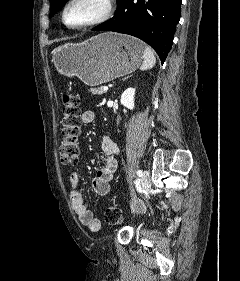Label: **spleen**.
Wrapping results in <instances>:
<instances>
[{
  "instance_id": "spleen-1",
  "label": "spleen",
  "mask_w": 240,
  "mask_h": 281,
  "mask_svg": "<svg viewBox=\"0 0 240 281\" xmlns=\"http://www.w3.org/2000/svg\"><path fill=\"white\" fill-rule=\"evenodd\" d=\"M143 59V63L140 67V69L143 71L153 68L156 64V57L154 51L149 46H145Z\"/></svg>"
}]
</instances>
